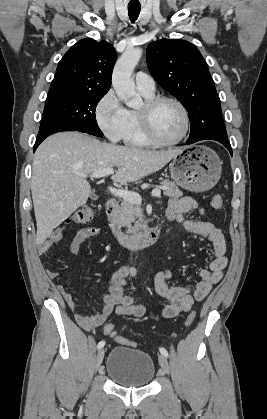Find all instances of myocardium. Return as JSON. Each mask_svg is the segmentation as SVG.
<instances>
[{
  "label": "myocardium",
  "mask_w": 267,
  "mask_h": 419,
  "mask_svg": "<svg viewBox=\"0 0 267 419\" xmlns=\"http://www.w3.org/2000/svg\"><path fill=\"white\" fill-rule=\"evenodd\" d=\"M163 102H171L175 104L182 112L184 119V128L181 135L174 140L161 139L154 130L152 116L155 109ZM138 116L142 131L147 139L154 145L173 146L180 143L187 136L190 128V116L185 105L175 97L167 95L154 96L145 100L141 109L138 110Z\"/></svg>",
  "instance_id": "1"
}]
</instances>
